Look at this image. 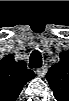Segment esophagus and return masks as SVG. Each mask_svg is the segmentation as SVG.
<instances>
[{
  "instance_id": "obj_1",
  "label": "esophagus",
  "mask_w": 69,
  "mask_h": 101,
  "mask_svg": "<svg viewBox=\"0 0 69 101\" xmlns=\"http://www.w3.org/2000/svg\"><path fill=\"white\" fill-rule=\"evenodd\" d=\"M46 71H47L46 66H43V67L37 69V70H36V73H37V75H38L39 77H44L45 74H46Z\"/></svg>"
}]
</instances>
